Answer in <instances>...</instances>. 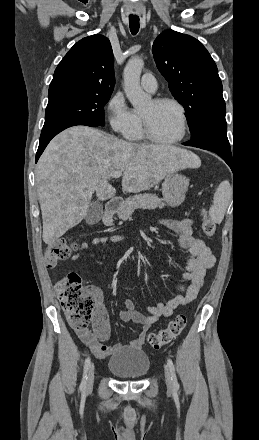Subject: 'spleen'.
Listing matches in <instances>:
<instances>
[{"instance_id": "1", "label": "spleen", "mask_w": 259, "mask_h": 440, "mask_svg": "<svg viewBox=\"0 0 259 440\" xmlns=\"http://www.w3.org/2000/svg\"><path fill=\"white\" fill-rule=\"evenodd\" d=\"M232 196V187L229 181H222L213 198V204L209 210V215L213 222L220 224L224 218L226 209Z\"/></svg>"}]
</instances>
